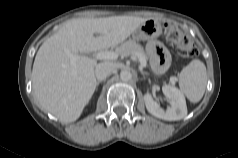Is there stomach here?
<instances>
[{
    "mask_svg": "<svg viewBox=\"0 0 238 158\" xmlns=\"http://www.w3.org/2000/svg\"><path fill=\"white\" fill-rule=\"evenodd\" d=\"M161 33V24L155 19H147L132 33V38L134 40H150L159 37Z\"/></svg>",
    "mask_w": 238,
    "mask_h": 158,
    "instance_id": "0dacf381",
    "label": "stomach"
}]
</instances>
